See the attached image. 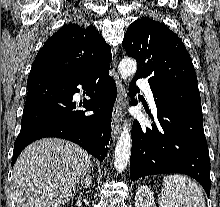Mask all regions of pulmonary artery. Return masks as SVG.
Masks as SVG:
<instances>
[{
    "instance_id": "1",
    "label": "pulmonary artery",
    "mask_w": 220,
    "mask_h": 207,
    "mask_svg": "<svg viewBox=\"0 0 220 207\" xmlns=\"http://www.w3.org/2000/svg\"><path fill=\"white\" fill-rule=\"evenodd\" d=\"M137 85L140 89H142L148 99V102L150 103L151 107L153 109L156 108V105H155V100H154V97H153V93H152V90L150 88V85L149 83L147 82V80L145 79H140L138 80L137 82Z\"/></svg>"
}]
</instances>
